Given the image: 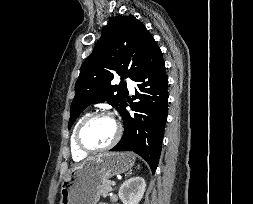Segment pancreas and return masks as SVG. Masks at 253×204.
Masks as SVG:
<instances>
[{"label":"pancreas","instance_id":"cf45deb5","mask_svg":"<svg viewBox=\"0 0 253 204\" xmlns=\"http://www.w3.org/2000/svg\"><path fill=\"white\" fill-rule=\"evenodd\" d=\"M111 191H112V187H111L110 181H106L98 189V193L104 197H106L108 193Z\"/></svg>","mask_w":253,"mask_h":204}]
</instances>
